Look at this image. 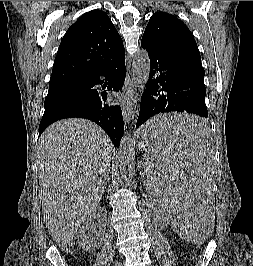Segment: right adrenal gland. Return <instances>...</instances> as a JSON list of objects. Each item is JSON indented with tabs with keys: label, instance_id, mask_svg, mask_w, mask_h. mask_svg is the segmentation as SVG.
I'll return each mask as SVG.
<instances>
[{
	"label": "right adrenal gland",
	"instance_id": "obj_1",
	"mask_svg": "<svg viewBox=\"0 0 253 266\" xmlns=\"http://www.w3.org/2000/svg\"><path fill=\"white\" fill-rule=\"evenodd\" d=\"M109 180H110V178H109V176H108V174H107V176H106V179H105V183H104V191H105V189H106V185H107V183L109 182Z\"/></svg>",
	"mask_w": 253,
	"mask_h": 266
}]
</instances>
